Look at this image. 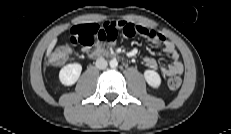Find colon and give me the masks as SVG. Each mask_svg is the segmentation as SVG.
<instances>
[{
	"instance_id": "colon-1",
	"label": "colon",
	"mask_w": 231,
	"mask_h": 134,
	"mask_svg": "<svg viewBox=\"0 0 231 134\" xmlns=\"http://www.w3.org/2000/svg\"><path fill=\"white\" fill-rule=\"evenodd\" d=\"M70 50L68 47H61L55 50L50 58L49 63L53 66H60L62 65L69 57ZM181 78L178 76H172L168 79L167 85L170 89L176 90L181 85Z\"/></svg>"
}]
</instances>
